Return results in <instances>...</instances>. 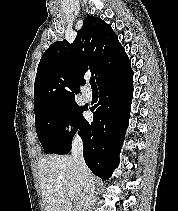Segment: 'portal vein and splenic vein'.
<instances>
[{
	"instance_id": "18ae733b",
	"label": "portal vein and splenic vein",
	"mask_w": 178,
	"mask_h": 211,
	"mask_svg": "<svg viewBox=\"0 0 178 211\" xmlns=\"http://www.w3.org/2000/svg\"><path fill=\"white\" fill-rule=\"evenodd\" d=\"M69 197H70L71 199L74 198L73 194H71V193H69Z\"/></svg>"
}]
</instances>
